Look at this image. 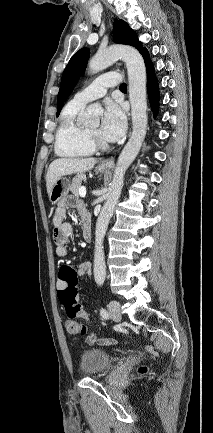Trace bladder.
<instances>
[{"mask_svg":"<svg viewBox=\"0 0 213 433\" xmlns=\"http://www.w3.org/2000/svg\"><path fill=\"white\" fill-rule=\"evenodd\" d=\"M115 358L104 350L91 348L85 350L80 358V371L87 376L101 375L113 366Z\"/></svg>","mask_w":213,"mask_h":433,"instance_id":"obj_1","label":"bladder"}]
</instances>
